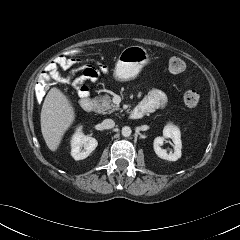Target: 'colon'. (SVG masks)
I'll return each instance as SVG.
<instances>
[{
	"instance_id": "1",
	"label": "colon",
	"mask_w": 240,
	"mask_h": 240,
	"mask_svg": "<svg viewBox=\"0 0 240 240\" xmlns=\"http://www.w3.org/2000/svg\"><path fill=\"white\" fill-rule=\"evenodd\" d=\"M81 51L79 49H72L59 56H57L60 63L66 66V69L75 68L72 70L71 79L74 81L78 89H82L84 81L90 79L95 71L94 65L84 61L79 56ZM169 70L174 74H179L185 71L186 62L179 57H172L168 63ZM184 102L188 107H196L199 104L200 96L195 90H187L184 93Z\"/></svg>"
}]
</instances>
